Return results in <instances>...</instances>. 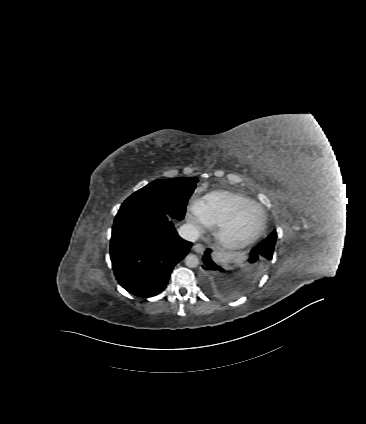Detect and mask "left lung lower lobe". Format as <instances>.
I'll return each instance as SVG.
<instances>
[{
  "label": "left lung lower lobe",
  "instance_id": "obj_1",
  "mask_svg": "<svg viewBox=\"0 0 366 424\" xmlns=\"http://www.w3.org/2000/svg\"><path fill=\"white\" fill-rule=\"evenodd\" d=\"M255 248L256 247H254L252 250H251V252H250V254H249V258H248V260H247V262L250 264V265H252V266H254L255 267V265L259 262V260H260V255H259V253L255 250ZM203 265H202V268L206 271V273H204L205 274V277L210 281V279H211V277L215 274V272H211V271H219V272H223L224 270L220 267V266H218V265H216L214 262H213V260H212V257H211V249H207L206 251H205V253H204V256H203Z\"/></svg>",
  "mask_w": 366,
  "mask_h": 424
}]
</instances>
